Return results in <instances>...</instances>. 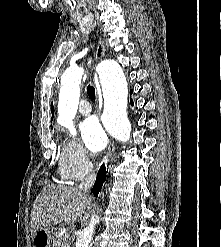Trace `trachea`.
Masks as SVG:
<instances>
[{"label": "trachea", "mask_w": 221, "mask_h": 247, "mask_svg": "<svg viewBox=\"0 0 221 247\" xmlns=\"http://www.w3.org/2000/svg\"><path fill=\"white\" fill-rule=\"evenodd\" d=\"M87 94L91 100H95V88L92 85L87 86Z\"/></svg>", "instance_id": "1"}]
</instances>
